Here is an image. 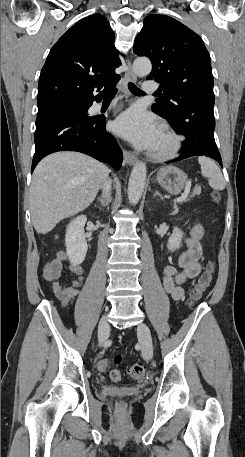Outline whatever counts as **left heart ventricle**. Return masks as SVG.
Masks as SVG:
<instances>
[{
	"mask_svg": "<svg viewBox=\"0 0 245 457\" xmlns=\"http://www.w3.org/2000/svg\"><path fill=\"white\" fill-rule=\"evenodd\" d=\"M163 142H164V140H163V138L160 136L159 141H158V144H161V143H163Z\"/></svg>",
	"mask_w": 245,
	"mask_h": 457,
	"instance_id": "left-heart-ventricle-1",
	"label": "left heart ventricle"
}]
</instances>
